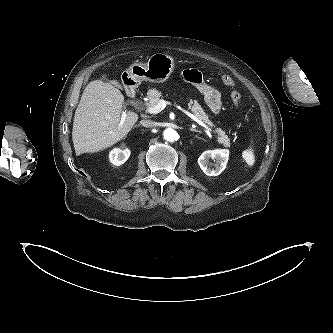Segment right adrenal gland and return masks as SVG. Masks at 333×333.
Masks as SVG:
<instances>
[{
	"label": "right adrenal gland",
	"instance_id": "right-adrenal-gland-1",
	"mask_svg": "<svg viewBox=\"0 0 333 333\" xmlns=\"http://www.w3.org/2000/svg\"><path fill=\"white\" fill-rule=\"evenodd\" d=\"M140 125H135L134 127H139Z\"/></svg>",
	"mask_w": 333,
	"mask_h": 333
}]
</instances>
